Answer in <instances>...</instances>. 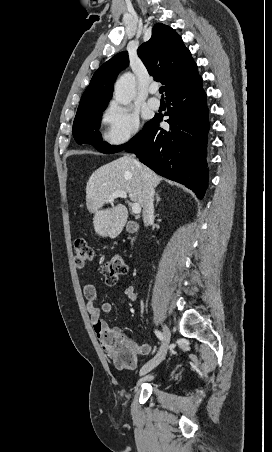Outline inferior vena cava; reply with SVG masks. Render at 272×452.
<instances>
[{"mask_svg":"<svg viewBox=\"0 0 272 452\" xmlns=\"http://www.w3.org/2000/svg\"><path fill=\"white\" fill-rule=\"evenodd\" d=\"M134 160L135 165L140 171L143 183L142 197H143V221L144 225L148 226L149 222L154 219V186L149 180L147 172L143 169L138 160Z\"/></svg>","mask_w":272,"mask_h":452,"instance_id":"602c4592","label":"inferior vena cava"}]
</instances>
